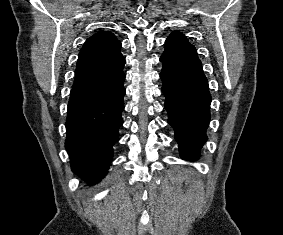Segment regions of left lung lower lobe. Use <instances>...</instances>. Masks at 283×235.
Returning a JSON list of instances; mask_svg holds the SVG:
<instances>
[{"instance_id":"obj_1","label":"left lung lower lobe","mask_w":283,"mask_h":235,"mask_svg":"<svg viewBox=\"0 0 283 235\" xmlns=\"http://www.w3.org/2000/svg\"><path fill=\"white\" fill-rule=\"evenodd\" d=\"M168 123L175 130L181 156L195 160L206 141L211 96L202 69L163 62L160 74Z\"/></svg>"}]
</instances>
